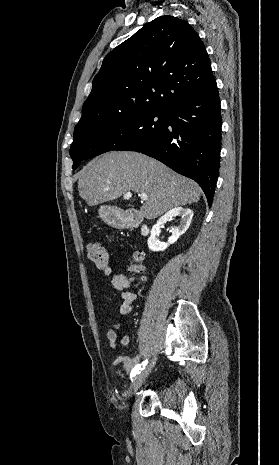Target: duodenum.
I'll use <instances>...</instances> for the list:
<instances>
[{"mask_svg":"<svg viewBox=\"0 0 279 465\" xmlns=\"http://www.w3.org/2000/svg\"><path fill=\"white\" fill-rule=\"evenodd\" d=\"M141 223L140 217L136 213H129L127 214L122 221V225L126 228H131L139 225ZM142 234L147 235L149 233V229L147 226H142Z\"/></svg>","mask_w":279,"mask_h":465,"instance_id":"obj_1","label":"duodenum"}]
</instances>
